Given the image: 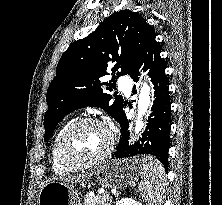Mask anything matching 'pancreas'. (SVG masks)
Returning <instances> with one entry per match:
<instances>
[{
    "label": "pancreas",
    "instance_id": "obj_1",
    "mask_svg": "<svg viewBox=\"0 0 222 205\" xmlns=\"http://www.w3.org/2000/svg\"><path fill=\"white\" fill-rule=\"evenodd\" d=\"M111 202L112 198L108 194L95 197L86 195L84 198V205H111Z\"/></svg>",
    "mask_w": 222,
    "mask_h": 205
}]
</instances>
